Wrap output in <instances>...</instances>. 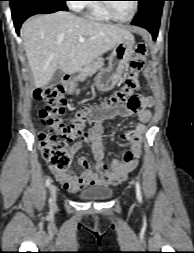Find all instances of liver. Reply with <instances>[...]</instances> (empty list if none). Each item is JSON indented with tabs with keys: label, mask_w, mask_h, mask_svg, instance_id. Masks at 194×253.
Returning <instances> with one entry per match:
<instances>
[{
	"label": "liver",
	"mask_w": 194,
	"mask_h": 253,
	"mask_svg": "<svg viewBox=\"0 0 194 253\" xmlns=\"http://www.w3.org/2000/svg\"><path fill=\"white\" fill-rule=\"evenodd\" d=\"M34 85L46 86L57 69L73 74L124 39L134 40L125 28L78 17L70 12L36 15L20 30ZM80 37L85 38L79 42Z\"/></svg>",
	"instance_id": "obj_1"
}]
</instances>
